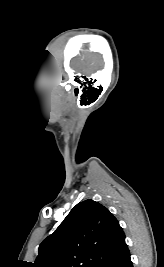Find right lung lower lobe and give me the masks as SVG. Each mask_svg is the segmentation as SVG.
I'll list each match as a JSON object with an SVG mask.
<instances>
[{"label": "right lung lower lobe", "mask_w": 164, "mask_h": 267, "mask_svg": "<svg viewBox=\"0 0 164 267\" xmlns=\"http://www.w3.org/2000/svg\"><path fill=\"white\" fill-rule=\"evenodd\" d=\"M99 267H133L127 245L108 257Z\"/></svg>", "instance_id": "right-lung-lower-lobe-1"}]
</instances>
